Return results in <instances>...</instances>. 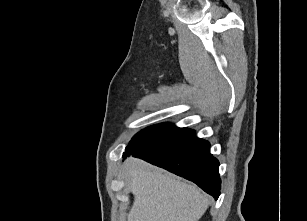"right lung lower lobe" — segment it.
I'll list each match as a JSON object with an SVG mask.
<instances>
[{
    "label": "right lung lower lobe",
    "instance_id": "right-lung-lower-lobe-1",
    "mask_svg": "<svg viewBox=\"0 0 307 221\" xmlns=\"http://www.w3.org/2000/svg\"><path fill=\"white\" fill-rule=\"evenodd\" d=\"M131 154L193 181L215 199L220 195L219 163L209 142L195 137L194 130L148 149L125 152L123 157Z\"/></svg>",
    "mask_w": 307,
    "mask_h": 221
}]
</instances>
